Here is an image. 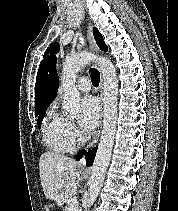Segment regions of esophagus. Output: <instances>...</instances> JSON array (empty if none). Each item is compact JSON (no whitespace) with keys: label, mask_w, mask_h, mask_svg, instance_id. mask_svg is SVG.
<instances>
[{"label":"esophagus","mask_w":178,"mask_h":211,"mask_svg":"<svg viewBox=\"0 0 178 211\" xmlns=\"http://www.w3.org/2000/svg\"><path fill=\"white\" fill-rule=\"evenodd\" d=\"M87 39L89 41V45H90V49L93 53L98 54L99 53V49L98 46L94 40L93 34H92V25L89 23L87 26ZM96 66L99 70L100 73V84H99V99L102 103V113H101V118H100V122H99V126L97 128V130L94 133L93 139L90 142V144L87 147V151L92 149L93 147L96 146L98 139L100 137L101 134V130H102V122H103V109H104V102H105V97H104V77H103V73H102V69L101 66L99 65V63L96 62ZM78 165L80 167L85 166V159L84 157L81 158V160L78 162Z\"/></svg>","instance_id":"34e87169"}]
</instances>
